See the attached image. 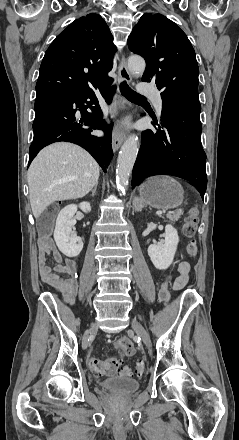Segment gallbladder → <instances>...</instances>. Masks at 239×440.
I'll return each mask as SVG.
<instances>
[{"instance_id": "obj_1", "label": "gallbladder", "mask_w": 239, "mask_h": 440, "mask_svg": "<svg viewBox=\"0 0 239 440\" xmlns=\"http://www.w3.org/2000/svg\"><path fill=\"white\" fill-rule=\"evenodd\" d=\"M41 222L42 226H45V218L44 216H41V218H38V224Z\"/></svg>"}]
</instances>
